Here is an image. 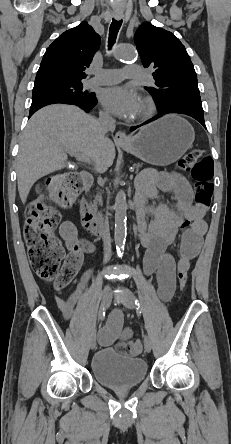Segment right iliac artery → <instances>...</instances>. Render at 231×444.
<instances>
[{"instance_id":"obj_1","label":"right iliac artery","mask_w":231,"mask_h":444,"mask_svg":"<svg viewBox=\"0 0 231 444\" xmlns=\"http://www.w3.org/2000/svg\"><path fill=\"white\" fill-rule=\"evenodd\" d=\"M103 316H105V312H102V313L99 315V319H102Z\"/></svg>"}]
</instances>
